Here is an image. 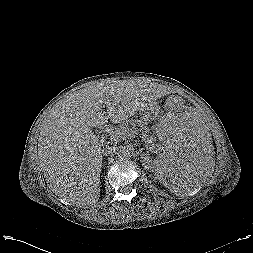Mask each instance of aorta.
I'll return each instance as SVG.
<instances>
[{"label": "aorta", "mask_w": 253, "mask_h": 253, "mask_svg": "<svg viewBox=\"0 0 253 253\" xmlns=\"http://www.w3.org/2000/svg\"><path fill=\"white\" fill-rule=\"evenodd\" d=\"M132 156V153L130 151V149L128 147H121L119 150H118V157L121 159V160H128L130 159Z\"/></svg>", "instance_id": "1"}]
</instances>
